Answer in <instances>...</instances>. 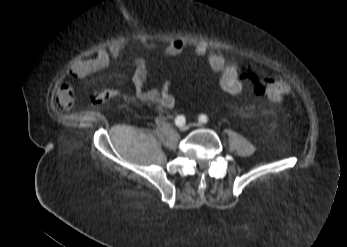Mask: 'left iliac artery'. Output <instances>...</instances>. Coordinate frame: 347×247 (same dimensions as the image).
Instances as JSON below:
<instances>
[{
    "mask_svg": "<svg viewBox=\"0 0 347 247\" xmlns=\"http://www.w3.org/2000/svg\"><path fill=\"white\" fill-rule=\"evenodd\" d=\"M199 121H200L201 123H207V122H208V117H207L206 115H204V114H201V115L199 116Z\"/></svg>",
    "mask_w": 347,
    "mask_h": 247,
    "instance_id": "left-iliac-artery-1",
    "label": "left iliac artery"
}]
</instances>
